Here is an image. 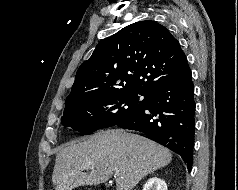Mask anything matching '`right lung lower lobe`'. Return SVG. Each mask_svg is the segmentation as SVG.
<instances>
[{
    "label": "right lung lower lobe",
    "mask_w": 238,
    "mask_h": 190,
    "mask_svg": "<svg viewBox=\"0 0 238 190\" xmlns=\"http://www.w3.org/2000/svg\"><path fill=\"white\" fill-rule=\"evenodd\" d=\"M195 107L192 73L187 65L176 77L149 93L140 110L116 125L148 134L150 139L179 154L191 171Z\"/></svg>",
    "instance_id": "obj_1"
}]
</instances>
